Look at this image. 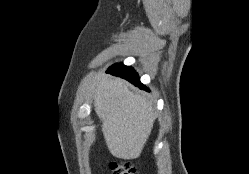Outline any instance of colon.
Listing matches in <instances>:
<instances>
[{
	"label": "colon",
	"mask_w": 249,
	"mask_h": 174,
	"mask_svg": "<svg viewBox=\"0 0 249 174\" xmlns=\"http://www.w3.org/2000/svg\"><path fill=\"white\" fill-rule=\"evenodd\" d=\"M110 169L113 174H137V169L126 161L111 162Z\"/></svg>",
	"instance_id": "obj_1"
}]
</instances>
